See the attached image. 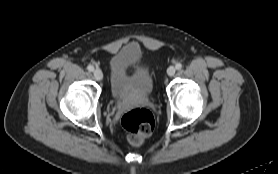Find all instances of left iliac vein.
<instances>
[{
  "mask_svg": "<svg viewBox=\"0 0 278 174\" xmlns=\"http://www.w3.org/2000/svg\"><path fill=\"white\" fill-rule=\"evenodd\" d=\"M175 72H176V68L173 67V66H170V67L167 69V74H168V76H170V77L174 76Z\"/></svg>",
  "mask_w": 278,
  "mask_h": 174,
  "instance_id": "obj_1",
  "label": "left iliac vein"
}]
</instances>
